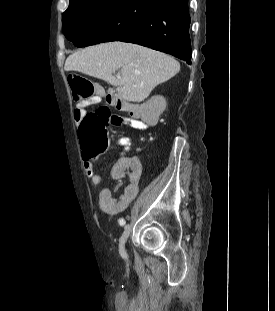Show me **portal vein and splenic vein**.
Here are the masks:
<instances>
[{
    "mask_svg": "<svg viewBox=\"0 0 275 311\" xmlns=\"http://www.w3.org/2000/svg\"><path fill=\"white\" fill-rule=\"evenodd\" d=\"M116 77H117V78H120V75L117 74Z\"/></svg>",
    "mask_w": 275,
    "mask_h": 311,
    "instance_id": "portal-vein-and-splenic-vein-1",
    "label": "portal vein and splenic vein"
}]
</instances>
